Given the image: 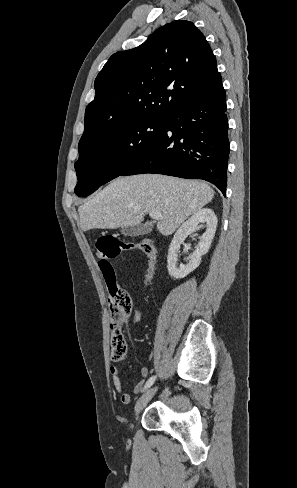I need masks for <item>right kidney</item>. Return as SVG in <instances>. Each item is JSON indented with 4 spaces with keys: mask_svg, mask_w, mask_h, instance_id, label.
I'll list each match as a JSON object with an SVG mask.
<instances>
[{
    "mask_svg": "<svg viewBox=\"0 0 297 488\" xmlns=\"http://www.w3.org/2000/svg\"><path fill=\"white\" fill-rule=\"evenodd\" d=\"M199 223H206V231L200 236V241L196 250L188 258V263L177 267L178 253L180 245L185 238L195 232ZM217 227V217L212 209L202 208L194 213L181 227L177 230L169 246L167 268L170 276L176 279L184 278L201 263V258L210 249Z\"/></svg>",
    "mask_w": 297,
    "mask_h": 488,
    "instance_id": "ca27d5eb",
    "label": "right kidney"
}]
</instances>
